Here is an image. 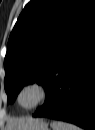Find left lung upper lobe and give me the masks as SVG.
Wrapping results in <instances>:
<instances>
[{
  "instance_id": "5c2ea615",
  "label": "left lung upper lobe",
  "mask_w": 95,
  "mask_h": 130,
  "mask_svg": "<svg viewBox=\"0 0 95 130\" xmlns=\"http://www.w3.org/2000/svg\"><path fill=\"white\" fill-rule=\"evenodd\" d=\"M94 0H32L9 37L4 60L8 103L29 83L49 87L52 74L86 18Z\"/></svg>"
}]
</instances>
